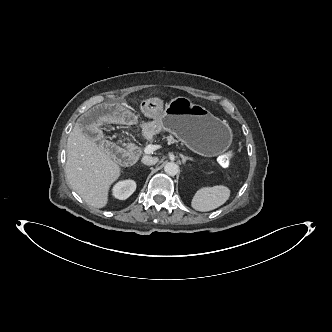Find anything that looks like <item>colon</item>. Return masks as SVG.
Here are the masks:
<instances>
[{"label":"colon","mask_w":332,"mask_h":332,"mask_svg":"<svg viewBox=\"0 0 332 332\" xmlns=\"http://www.w3.org/2000/svg\"><path fill=\"white\" fill-rule=\"evenodd\" d=\"M100 146L106 152H113L116 149L111 142L106 140L102 141ZM234 157H235L234 152L228 151L220 157V162L224 167H229L232 164Z\"/></svg>","instance_id":"colon-1"}]
</instances>
